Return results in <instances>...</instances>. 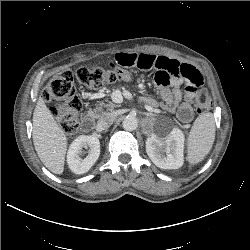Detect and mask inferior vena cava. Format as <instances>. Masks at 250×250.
<instances>
[{
    "instance_id": "obj_1",
    "label": "inferior vena cava",
    "mask_w": 250,
    "mask_h": 250,
    "mask_svg": "<svg viewBox=\"0 0 250 250\" xmlns=\"http://www.w3.org/2000/svg\"><path fill=\"white\" fill-rule=\"evenodd\" d=\"M115 117L116 115L113 112L104 113L97 122V128L99 130L107 129L113 124Z\"/></svg>"
}]
</instances>
